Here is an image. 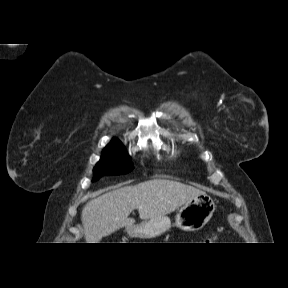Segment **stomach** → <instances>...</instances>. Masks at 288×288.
Returning a JSON list of instances; mask_svg holds the SVG:
<instances>
[{
    "mask_svg": "<svg viewBox=\"0 0 288 288\" xmlns=\"http://www.w3.org/2000/svg\"><path fill=\"white\" fill-rule=\"evenodd\" d=\"M215 209L216 205L213 199L206 193L201 192L180 208L176 216L175 226L184 231L199 230L208 223ZM170 228V219L162 216L127 227L126 231L131 237L151 239L165 233Z\"/></svg>",
    "mask_w": 288,
    "mask_h": 288,
    "instance_id": "obj_1",
    "label": "stomach"
}]
</instances>
